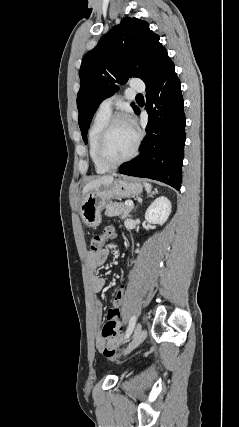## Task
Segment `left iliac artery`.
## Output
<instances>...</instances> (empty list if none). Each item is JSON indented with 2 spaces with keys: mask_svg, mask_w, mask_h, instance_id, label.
Segmentation results:
<instances>
[{
  "mask_svg": "<svg viewBox=\"0 0 239 427\" xmlns=\"http://www.w3.org/2000/svg\"><path fill=\"white\" fill-rule=\"evenodd\" d=\"M135 324H136V317L132 316L130 319V322H129V326H128L127 331H126L125 339H128L130 337V335L133 332V329L135 327Z\"/></svg>",
  "mask_w": 239,
  "mask_h": 427,
  "instance_id": "1",
  "label": "left iliac artery"
}]
</instances>
